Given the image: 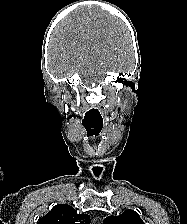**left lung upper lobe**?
Masks as SVG:
<instances>
[{"mask_svg": "<svg viewBox=\"0 0 187 224\" xmlns=\"http://www.w3.org/2000/svg\"><path fill=\"white\" fill-rule=\"evenodd\" d=\"M104 224H144L138 213L128 209L119 216H109Z\"/></svg>", "mask_w": 187, "mask_h": 224, "instance_id": "left-lung-upper-lobe-1", "label": "left lung upper lobe"}]
</instances>
